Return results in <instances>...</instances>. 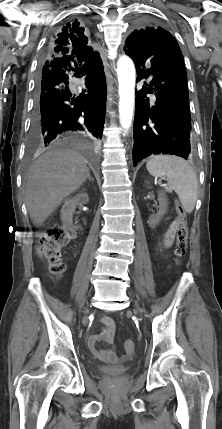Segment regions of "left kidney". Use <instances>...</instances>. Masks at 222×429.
Returning a JSON list of instances; mask_svg holds the SVG:
<instances>
[{"mask_svg":"<svg viewBox=\"0 0 222 429\" xmlns=\"http://www.w3.org/2000/svg\"><path fill=\"white\" fill-rule=\"evenodd\" d=\"M158 201H159V212L156 215H152L149 218L148 224L151 228H155L162 216L167 212V207H168V200L166 195L161 192L158 194Z\"/></svg>","mask_w":222,"mask_h":429,"instance_id":"5707ae66","label":"left kidney"}]
</instances>
